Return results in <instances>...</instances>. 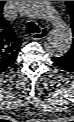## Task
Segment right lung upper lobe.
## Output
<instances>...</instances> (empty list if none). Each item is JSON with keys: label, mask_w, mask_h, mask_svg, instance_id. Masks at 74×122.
I'll list each match as a JSON object with an SVG mask.
<instances>
[{"label": "right lung upper lobe", "mask_w": 74, "mask_h": 122, "mask_svg": "<svg viewBox=\"0 0 74 122\" xmlns=\"http://www.w3.org/2000/svg\"><path fill=\"white\" fill-rule=\"evenodd\" d=\"M6 1H0V73L15 62L21 43L9 22L3 18L2 8Z\"/></svg>", "instance_id": "obj_1"}]
</instances>
